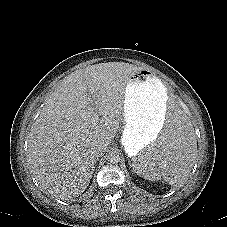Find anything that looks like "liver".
<instances>
[{"label":"liver","instance_id":"1","mask_svg":"<svg viewBox=\"0 0 227 227\" xmlns=\"http://www.w3.org/2000/svg\"><path fill=\"white\" fill-rule=\"evenodd\" d=\"M140 70L123 62L95 64L68 75L50 94L28 141V162L42 189L61 199L86 190L96 164L93 148L113 141L130 77ZM94 114L102 117L95 124Z\"/></svg>","mask_w":227,"mask_h":227}]
</instances>
